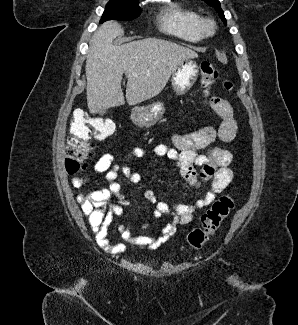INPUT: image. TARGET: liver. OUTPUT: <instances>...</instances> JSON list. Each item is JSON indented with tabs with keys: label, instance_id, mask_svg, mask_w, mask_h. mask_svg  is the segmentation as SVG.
<instances>
[{
	"label": "liver",
	"instance_id": "liver-1",
	"mask_svg": "<svg viewBox=\"0 0 298 325\" xmlns=\"http://www.w3.org/2000/svg\"><path fill=\"white\" fill-rule=\"evenodd\" d=\"M123 32L119 22L107 20L92 36L85 64L89 112L125 104L123 74L127 78L126 100L128 104H138L162 92L179 62L198 58L192 48L163 38L113 44Z\"/></svg>",
	"mask_w": 298,
	"mask_h": 325
}]
</instances>
